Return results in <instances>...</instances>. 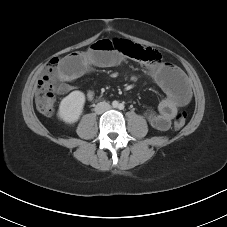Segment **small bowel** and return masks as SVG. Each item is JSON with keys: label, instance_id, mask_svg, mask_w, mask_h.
<instances>
[{"label": "small bowel", "instance_id": "c3829d8e", "mask_svg": "<svg viewBox=\"0 0 227 227\" xmlns=\"http://www.w3.org/2000/svg\"><path fill=\"white\" fill-rule=\"evenodd\" d=\"M123 60L124 54L115 49L109 39L98 40L88 50L72 53L61 60L57 70L56 92L66 94L72 91V82L92 67H113ZM149 74L165 93V98L156 111L149 110L144 115L153 128L165 131L177 110L190 102V88L184 73L174 65L157 64L149 69ZM86 97L92 100L94 93L89 91Z\"/></svg>", "mask_w": 227, "mask_h": 227}]
</instances>
